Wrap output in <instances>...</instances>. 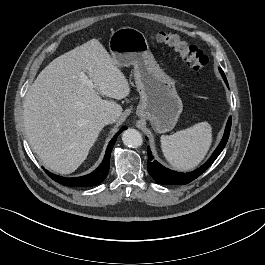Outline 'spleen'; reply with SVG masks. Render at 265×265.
<instances>
[{
  "instance_id": "1",
  "label": "spleen",
  "mask_w": 265,
  "mask_h": 265,
  "mask_svg": "<svg viewBox=\"0 0 265 265\" xmlns=\"http://www.w3.org/2000/svg\"><path fill=\"white\" fill-rule=\"evenodd\" d=\"M212 127L208 122L195 124L173 135L161 136V148L168 162L179 170L197 167L212 143Z\"/></svg>"
}]
</instances>
